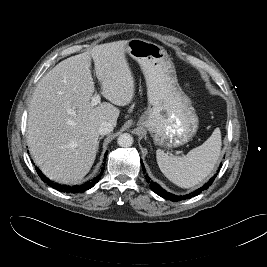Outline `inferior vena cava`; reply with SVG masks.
Wrapping results in <instances>:
<instances>
[{
  "label": "inferior vena cava",
  "mask_w": 267,
  "mask_h": 267,
  "mask_svg": "<svg viewBox=\"0 0 267 267\" xmlns=\"http://www.w3.org/2000/svg\"><path fill=\"white\" fill-rule=\"evenodd\" d=\"M113 129H114V126L112 123L104 121L100 124L98 132L100 135H107L110 132H112Z\"/></svg>",
  "instance_id": "1"
}]
</instances>
